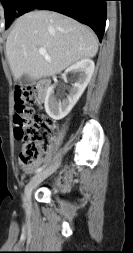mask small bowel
<instances>
[{"label":"small bowel","mask_w":133,"mask_h":253,"mask_svg":"<svg viewBox=\"0 0 133 253\" xmlns=\"http://www.w3.org/2000/svg\"><path fill=\"white\" fill-rule=\"evenodd\" d=\"M42 161H43L42 159H39L38 162L34 166L25 169V172L27 174L32 173L35 169H37V167L42 163ZM69 180H70V174L67 171H63L60 173L57 179V182L60 185H66L69 182Z\"/></svg>","instance_id":"1"}]
</instances>
